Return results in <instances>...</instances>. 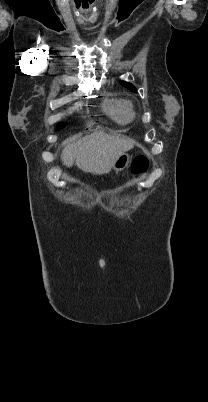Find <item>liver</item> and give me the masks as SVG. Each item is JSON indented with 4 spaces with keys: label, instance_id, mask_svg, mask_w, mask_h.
<instances>
[{
    "label": "liver",
    "instance_id": "liver-1",
    "mask_svg": "<svg viewBox=\"0 0 208 402\" xmlns=\"http://www.w3.org/2000/svg\"><path fill=\"white\" fill-rule=\"evenodd\" d=\"M135 140L126 136H108V134H90L79 140H67L62 152V162L64 166H73L83 172L91 174H108L111 172L115 160L132 150Z\"/></svg>",
    "mask_w": 208,
    "mask_h": 402
}]
</instances>
